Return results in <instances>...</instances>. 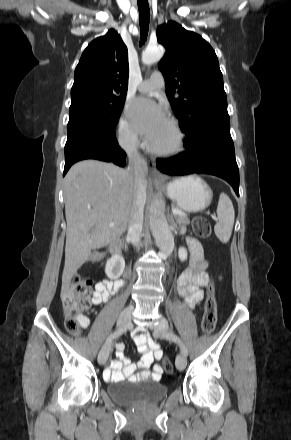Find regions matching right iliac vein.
I'll list each match as a JSON object with an SVG mask.
<instances>
[{"instance_id": "1", "label": "right iliac vein", "mask_w": 291, "mask_h": 440, "mask_svg": "<svg viewBox=\"0 0 291 440\" xmlns=\"http://www.w3.org/2000/svg\"><path fill=\"white\" fill-rule=\"evenodd\" d=\"M133 306H129L127 308H125L121 314L119 315L118 321H117V325L119 327H123L125 326L130 318H131V314L133 312ZM110 343L106 344L105 346L102 347V349L100 350L99 354H98V363L100 365H103L106 363L108 356H109V352H110Z\"/></svg>"}]
</instances>
